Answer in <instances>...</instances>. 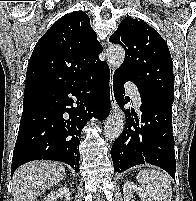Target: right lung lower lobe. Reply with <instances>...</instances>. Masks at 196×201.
I'll list each match as a JSON object with an SVG mask.
<instances>
[{
    "label": "right lung lower lobe",
    "mask_w": 196,
    "mask_h": 201,
    "mask_svg": "<svg viewBox=\"0 0 196 201\" xmlns=\"http://www.w3.org/2000/svg\"><path fill=\"white\" fill-rule=\"evenodd\" d=\"M110 71L98 63L79 78L24 96L11 174L32 160H55L79 170V140L86 122L110 112ZM67 113V114H66Z\"/></svg>",
    "instance_id": "obj_1"
}]
</instances>
